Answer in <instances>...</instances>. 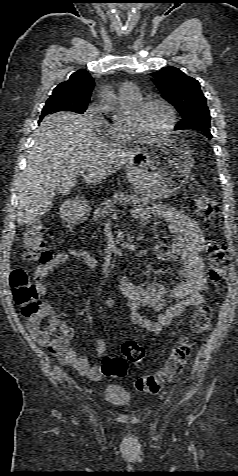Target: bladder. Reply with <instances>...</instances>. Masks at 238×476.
I'll list each match as a JSON object with an SVG mask.
<instances>
[{
    "mask_svg": "<svg viewBox=\"0 0 238 476\" xmlns=\"http://www.w3.org/2000/svg\"><path fill=\"white\" fill-rule=\"evenodd\" d=\"M105 400L116 406L127 405L130 400V394L121 386L118 385H108L104 390Z\"/></svg>",
    "mask_w": 238,
    "mask_h": 476,
    "instance_id": "obj_1",
    "label": "bladder"
}]
</instances>
